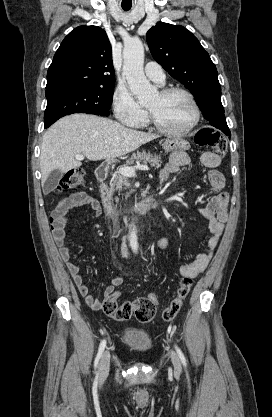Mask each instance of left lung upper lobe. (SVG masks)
<instances>
[{
    "label": "left lung upper lobe",
    "instance_id": "left-lung-upper-lobe-1",
    "mask_svg": "<svg viewBox=\"0 0 272 417\" xmlns=\"http://www.w3.org/2000/svg\"><path fill=\"white\" fill-rule=\"evenodd\" d=\"M153 58L194 95L211 125L230 133L217 69L198 39L183 26L159 22L146 35Z\"/></svg>",
    "mask_w": 272,
    "mask_h": 417
}]
</instances>
